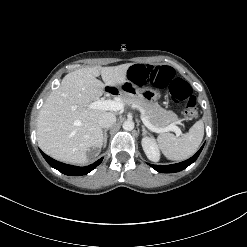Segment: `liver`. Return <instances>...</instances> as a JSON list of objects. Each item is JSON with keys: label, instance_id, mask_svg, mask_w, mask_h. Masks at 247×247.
I'll return each mask as SVG.
<instances>
[{"label": "liver", "instance_id": "obj_1", "mask_svg": "<svg viewBox=\"0 0 247 247\" xmlns=\"http://www.w3.org/2000/svg\"><path fill=\"white\" fill-rule=\"evenodd\" d=\"M132 63L112 67L93 66L67 74L51 92L39 111L37 140L49 156L63 162H88L90 148L99 153L103 131L99 116L105 112L89 105L99 99L105 87H117L127 81ZM101 75L103 82L97 79Z\"/></svg>", "mask_w": 247, "mask_h": 247}]
</instances>
